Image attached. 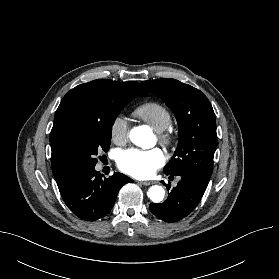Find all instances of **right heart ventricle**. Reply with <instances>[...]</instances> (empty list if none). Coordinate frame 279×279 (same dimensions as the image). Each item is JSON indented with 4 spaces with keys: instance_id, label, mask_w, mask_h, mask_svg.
I'll use <instances>...</instances> for the list:
<instances>
[{
    "instance_id": "right-heart-ventricle-1",
    "label": "right heart ventricle",
    "mask_w": 279,
    "mask_h": 279,
    "mask_svg": "<svg viewBox=\"0 0 279 279\" xmlns=\"http://www.w3.org/2000/svg\"><path fill=\"white\" fill-rule=\"evenodd\" d=\"M133 115L148 123L156 131L166 129L172 123L169 110L163 104L155 101L145 102L137 106Z\"/></svg>"
}]
</instances>
